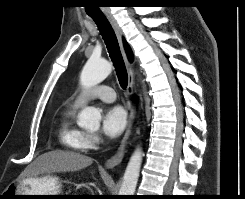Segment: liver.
Segmentation results:
<instances>
[{
	"label": "liver",
	"mask_w": 245,
	"mask_h": 199,
	"mask_svg": "<svg viewBox=\"0 0 245 199\" xmlns=\"http://www.w3.org/2000/svg\"><path fill=\"white\" fill-rule=\"evenodd\" d=\"M91 157L64 150H53L40 155L29 167L26 176L30 179L44 173L74 172L91 165Z\"/></svg>",
	"instance_id": "liver-1"
}]
</instances>
